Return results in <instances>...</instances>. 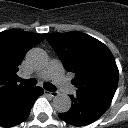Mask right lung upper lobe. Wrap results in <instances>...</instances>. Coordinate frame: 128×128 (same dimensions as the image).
<instances>
[{"instance_id":"obj_1","label":"right lung upper lobe","mask_w":128,"mask_h":128,"mask_svg":"<svg viewBox=\"0 0 128 128\" xmlns=\"http://www.w3.org/2000/svg\"><path fill=\"white\" fill-rule=\"evenodd\" d=\"M45 34L11 29L0 33V104L24 88L16 82V72L29 49L42 42Z\"/></svg>"}]
</instances>
